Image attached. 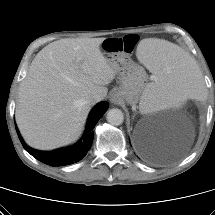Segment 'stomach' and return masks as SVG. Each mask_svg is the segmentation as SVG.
I'll return each instance as SVG.
<instances>
[{
	"label": "stomach",
	"instance_id": "stomach-1",
	"mask_svg": "<svg viewBox=\"0 0 215 215\" xmlns=\"http://www.w3.org/2000/svg\"><path fill=\"white\" fill-rule=\"evenodd\" d=\"M108 62L115 69L119 88L117 95L120 99L135 105L145 87L146 73L143 67L136 64L129 54L124 52L108 53Z\"/></svg>",
	"mask_w": 215,
	"mask_h": 215
}]
</instances>
